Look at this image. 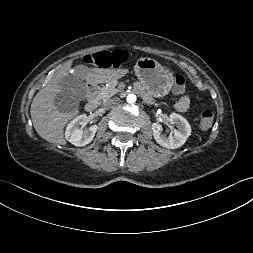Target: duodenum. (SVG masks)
I'll use <instances>...</instances> for the list:
<instances>
[{"label":"duodenum","mask_w":253,"mask_h":253,"mask_svg":"<svg viewBox=\"0 0 253 253\" xmlns=\"http://www.w3.org/2000/svg\"><path fill=\"white\" fill-rule=\"evenodd\" d=\"M88 101L86 102L85 109L87 112H93L98 107V86L97 84H90L88 86Z\"/></svg>","instance_id":"410a0bca"}]
</instances>
